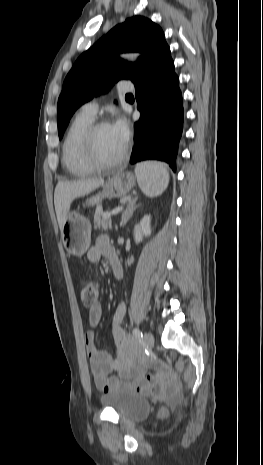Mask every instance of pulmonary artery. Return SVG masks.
I'll return each instance as SVG.
<instances>
[{
    "instance_id": "e3ab8cb5",
    "label": "pulmonary artery",
    "mask_w": 263,
    "mask_h": 465,
    "mask_svg": "<svg viewBox=\"0 0 263 465\" xmlns=\"http://www.w3.org/2000/svg\"><path fill=\"white\" fill-rule=\"evenodd\" d=\"M133 87L129 84L122 83L119 86V91L120 92H129L132 91ZM98 111V103L95 100L86 102L81 106L80 113L89 116L91 118H94L96 116V113Z\"/></svg>"
}]
</instances>
